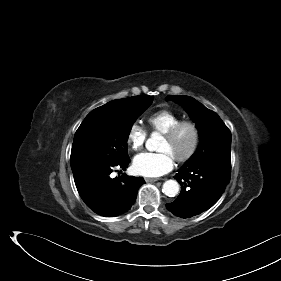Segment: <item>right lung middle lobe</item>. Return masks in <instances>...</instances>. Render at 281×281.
<instances>
[{
  "mask_svg": "<svg viewBox=\"0 0 281 281\" xmlns=\"http://www.w3.org/2000/svg\"><path fill=\"white\" fill-rule=\"evenodd\" d=\"M153 96H135L110 108L91 111L77 129L71 168L89 163H119L129 158L127 140L133 123L152 103Z\"/></svg>",
  "mask_w": 281,
  "mask_h": 281,
  "instance_id": "obj_1",
  "label": "right lung middle lobe"
}]
</instances>
